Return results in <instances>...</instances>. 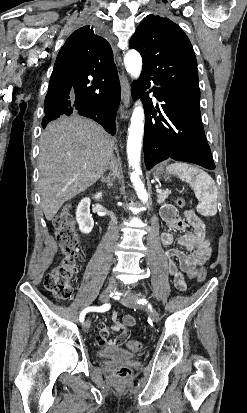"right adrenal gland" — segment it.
<instances>
[{"instance_id":"1","label":"right adrenal gland","mask_w":247,"mask_h":413,"mask_svg":"<svg viewBox=\"0 0 247 413\" xmlns=\"http://www.w3.org/2000/svg\"><path fill=\"white\" fill-rule=\"evenodd\" d=\"M114 178H115V174H113V172H108L107 176H104V174H102L100 180H102V182H106L107 188H111V186H113Z\"/></svg>"}]
</instances>
